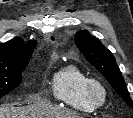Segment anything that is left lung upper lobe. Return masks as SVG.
<instances>
[{"instance_id":"5c2ea615","label":"left lung upper lobe","mask_w":133,"mask_h":118,"mask_svg":"<svg viewBox=\"0 0 133 118\" xmlns=\"http://www.w3.org/2000/svg\"><path fill=\"white\" fill-rule=\"evenodd\" d=\"M75 41L87 61L105 76L115 91L133 108V101L129 96L127 86L112 53L97 38L91 36L85 30L78 31L75 34Z\"/></svg>"}]
</instances>
